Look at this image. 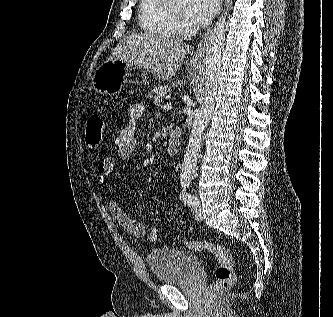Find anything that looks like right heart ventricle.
<instances>
[{"instance_id": "1", "label": "right heart ventricle", "mask_w": 333, "mask_h": 317, "mask_svg": "<svg viewBox=\"0 0 333 317\" xmlns=\"http://www.w3.org/2000/svg\"><path fill=\"white\" fill-rule=\"evenodd\" d=\"M138 23L147 34L172 39L178 36L177 22L171 17L166 0H140Z\"/></svg>"}]
</instances>
